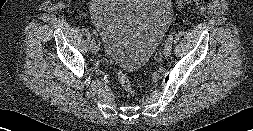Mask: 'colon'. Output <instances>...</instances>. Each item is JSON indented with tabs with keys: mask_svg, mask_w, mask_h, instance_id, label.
Segmentation results:
<instances>
[{
	"mask_svg": "<svg viewBox=\"0 0 253 131\" xmlns=\"http://www.w3.org/2000/svg\"><path fill=\"white\" fill-rule=\"evenodd\" d=\"M199 2H201V0H181L179 4L181 6H186L188 4H198ZM117 77L122 89L126 92H131L132 83L128 76L123 71L118 70Z\"/></svg>",
	"mask_w": 253,
	"mask_h": 131,
	"instance_id": "5ec220e1",
	"label": "colon"
}]
</instances>
